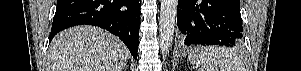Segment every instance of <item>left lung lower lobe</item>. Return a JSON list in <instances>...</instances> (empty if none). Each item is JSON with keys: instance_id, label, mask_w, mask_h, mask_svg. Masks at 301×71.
<instances>
[{"instance_id": "0a47b994", "label": "left lung lower lobe", "mask_w": 301, "mask_h": 71, "mask_svg": "<svg viewBox=\"0 0 301 71\" xmlns=\"http://www.w3.org/2000/svg\"><path fill=\"white\" fill-rule=\"evenodd\" d=\"M177 25L185 45L239 46L240 0H178Z\"/></svg>"}]
</instances>
